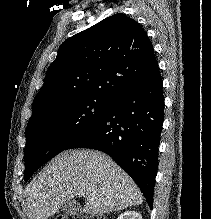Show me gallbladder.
Listing matches in <instances>:
<instances>
[{
	"mask_svg": "<svg viewBox=\"0 0 211 219\" xmlns=\"http://www.w3.org/2000/svg\"><path fill=\"white\" fill-rule=\"evenodd\" d=\"M61 210L65 212L67 215H77L82 213V208L80 204L74 200L66 201Z\"/></svg>",
	"mask_w": 211,
	"mask_h": 219,
	"instance_id": "bac80fb5",
	"label": "gallbladder"
}]
</instances>
